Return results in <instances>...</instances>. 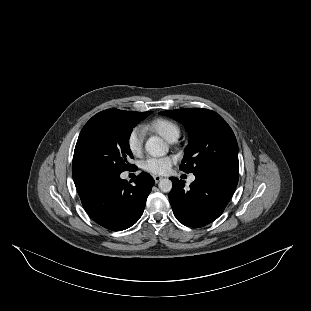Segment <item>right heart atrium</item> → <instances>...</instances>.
<instances>
[{
	"mask_svg": "<svg viewBox=\"0 0 311 311\" xmlns=\"http://www.w3.org/2000/svg\"><path fill=\"white\" fill-rule=\"evenodd\" d=\"M144 137V127L136 125L131 128L126 138V145L132 155L139 156L142 153Z\"/></svg>",
	"mask_w": 311,
	"mask_h": 311,
	"instance_id": "d8ad5b80",
	"label": "right heart atrium"
}]
</instances>
